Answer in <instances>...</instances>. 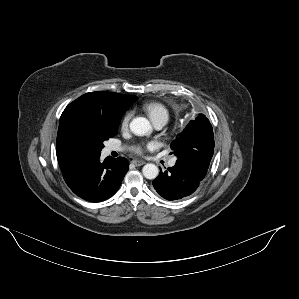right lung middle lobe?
<instances>
[{
    "label": "right lung middle lobe",
    "mask_w": 299,
    "mask_h": 299,
    "mask_svg": "<svg viewBox=\"0 0 299 299\" xmlns=\"http://www.w3.org/2000/svg\"><path fill=\"white\" fill-rule=\"evenodd\" d=\"M118 126L119 123L107 124L95 117H84L78 124L81 136L98 154L104 147L103 142L117 134Z\"/></svg>",
    "instance_id": "1"
}]
</instances>
